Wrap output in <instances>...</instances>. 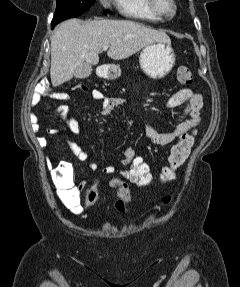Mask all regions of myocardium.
<instances>
[{"label":"myocardium","mask_w":240,"mask_h":287,"mask_svg":"<svg viewBox=\"0 0 240 287\" xmlns=\"http://www.w3.org/2000/svg\"><path fill=\"white\" fill-rule=\"evenodd\" d=\"M151 10L161 18H171L177 13V2L176 0H169L172 5L170 11L164 10L161 6V0H148Z\"/></svg>","instance_id":"f54148a6"}]
</instances>
